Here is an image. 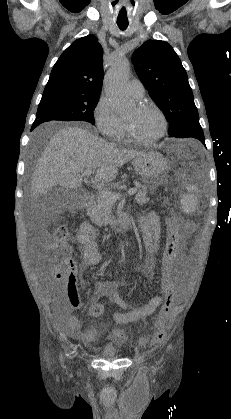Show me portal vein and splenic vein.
<instances>
[{
	"mask_svg": "<svg viewBox=\"0 0 231 419\" xmlns=\"http://www.w3.org/2000/svg\"><path fill=\"white\" fill-rule=\"evenodd\" d=\"M92 174V170L91 169H86L84 171V175L86 177H89ZM96 189L98 190V192L100 193L101 196L107 198L108 200L115 202L118 198H119V194L111 192L109 190L103 189L102 186L97 185ZM137 192V190L135 188H131L128 190V195H134Z\"/></svg>",
	"mask_w": 231,
	"mask_h": 419,
	"instance_id": "1",
	"label": "portal vein and splenic vein"
}]
</instances>
